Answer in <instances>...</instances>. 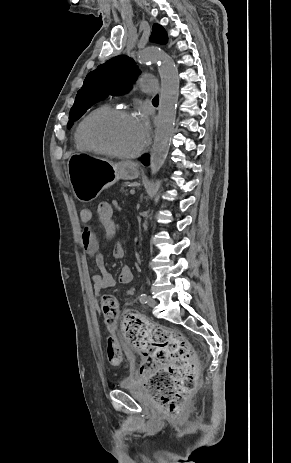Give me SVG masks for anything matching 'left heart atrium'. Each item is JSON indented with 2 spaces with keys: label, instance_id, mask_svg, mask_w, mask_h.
I'll use <instances>...</instances> for the list:
<instances>
[{
  "label": "left heart atrium",
  "instance_id": "obj_1",
  "mask_svg": "<svg viewBox=\"0 0 291 463\" xmlns=\"http://www.w3.org/2000/svg\"><path fill=\"white\" fill-rule=\"evenodd\" d=\"M134 121L143 140L146 141L150 132V124L148 117L144 114H140L134 118Z\"/></svg>",
  "mask_w": 291,
  "mask_h": 463
}]
</instances>
